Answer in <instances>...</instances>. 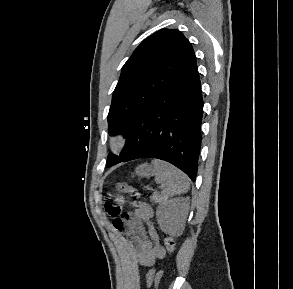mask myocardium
I'll use <instances>...</instances> for the list:
<instances>
[{"mask_svg":"<svg viewBox=\"0 0 293 289\" xmlns=\"http://www.w3.org/2000/svg\"><path fill=\"white\" fill-rule=\"evenodd\" d=\"M127 144V137L122 132H117L110 138V149L115 154L120 153Z\"/></svg>","mask_w":293,"mask_h":289,"instance_id":"obj_1","label":"myocardium"}]
</instances>
